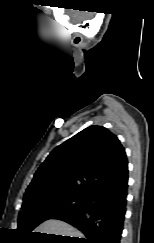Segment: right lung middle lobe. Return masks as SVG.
I'll list each match as a JSON object with an SVG mask.
<instances>
[{
    "label": "right lung middle lobe",
    "instance_id": "1",
    "mask_svg": "<svg viewBox=\"0 0 154 243\" xmlns=\"http://www.w3.org/2000/svg\"><path fill=\"white\" fill-rule=\"evenodd\" d=\"M85 201L86 197L59 195L23 204L17 231L20 235L27 236L34 232L33 229L40 223L61 213L74 211L82 207Z\"/></svg>",
    "mask_w": 154,
    "mask_h": 243
}]
</instances>
